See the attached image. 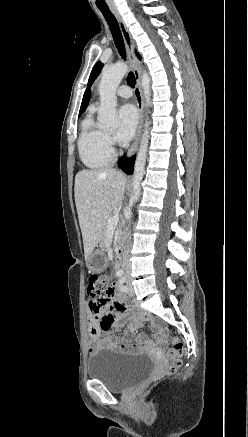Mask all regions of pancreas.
I'll list each match as a JSON object with an SVG mask.
<instances>
[{"instance_id":"pancreas-1","label":"pancreas","mask_w":248,"mask_h":437,"mask_svg":"<svg viewBox=\"0 0 248 437\" xmlns=\"http://www.w3.org/2000/svg\"><path fill=\"white\" fill-rule=\"evenodd\" d=\"M108 220H109V219H108ZM108 220H107V222H108ZM107 222H106L105 227H104V232H103V237H102L103 240H104L105 237H106L105 234H106V232H107V226H108Z\"/></svg>"}]
</instances>
